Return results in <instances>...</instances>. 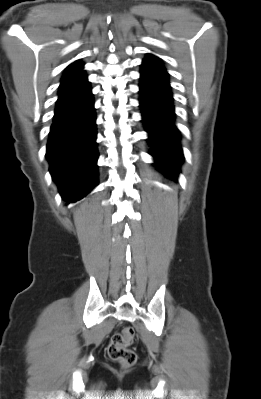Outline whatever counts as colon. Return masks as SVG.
I'll return each instance as SVG.
<instances>
[{"label":"colon","instance_id":"1","mask_svg":"<svg viewBox=\"0 0 261 399\" xmlns=\"http://www.w3.org/2000/svg\"><path fill=\"white\" fill-rule=\"evenodd\" d=\"M136 334L132 327H124L120 332L115 333L107 346V353L110 359L125 367H130L136 362V354L129 348L135 340Z\"/></svg>","mask_w":261,"mask_h":399}]
</instances>
